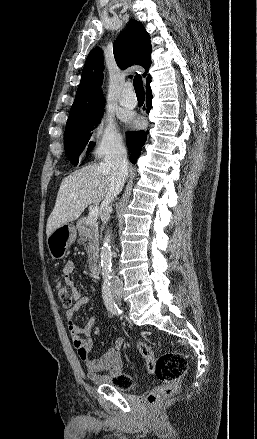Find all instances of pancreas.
<instances>
[{
  "mask_svg": "<svg viewBox=\"0 0 257 439\" xmlns=\"http://www.w3.org/2000/svg\"><path fill=\"white\" fill-rule=\"evenodd\" d=\"M77 229L79 232V241L85 244V249L88 253V262L91 263L98 253L99 246V233H98V223L95 221L93 223L87 224V218L82 217L77 221Z\"/></svg>",
  "mask_w": 257,
  "mask_h": 439,
  "instance_id": "obj_1",
  "label": "pancreas"
}]
</instances>
